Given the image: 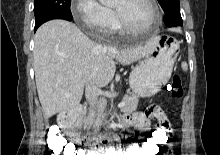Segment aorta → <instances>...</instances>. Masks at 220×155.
<instances>
[{
	"instance_id": "obj_1",
	"label": "aorta",
	"mask_w": 220,
	"mask_h": 155,
	"mask_svg": "<svg viewBox=\"0 0 220 155\" xmlns=\"http://www.w3.org/2000/svg\"><path fill=\"white\" fill-rule=\"evenodd\" d=\"M100 2L104 5H109V4H112L114 0H100Z\"/></svg>"
}]
</instances>
